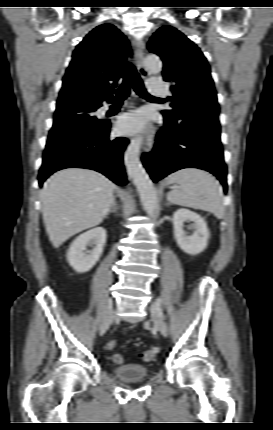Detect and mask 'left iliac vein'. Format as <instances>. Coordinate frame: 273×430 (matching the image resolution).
Wrapping results in <instances>:
<instances>
[{
    "label": "left iliac vein",
    "mask_w": 273,
    "mask_h": 430,
    "mask_svg": "<svg viewBox=\"0 0 273 430\" xmlns=\"http://www.w3.org/2000/svg\"><path fill=\"white\" fill-rule=\"evenodd\" d=\"M150 313L151 321L155 328H157L163 336L167 337L169 334L168 326L162 318V308L157 304V301L152 303V305L150 306Z\"/></svg>",
    "instance_id": "1"
}]
</instances>
